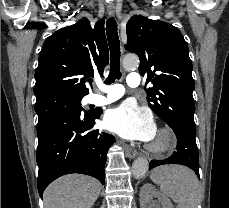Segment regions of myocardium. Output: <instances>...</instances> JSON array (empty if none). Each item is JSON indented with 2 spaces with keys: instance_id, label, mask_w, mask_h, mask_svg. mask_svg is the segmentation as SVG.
Here are the masks:
<instances>
[{
  "instance_id": "obj_1",
  "label": "myocardium",
  "mask_w": 229,
  "mask_h": 208,
  "mask_svg": "<svg viewBox=\"0 0 229 208\" xmlns=\"http://www.w3.org/2000/svg\"><path fill=\"white\" fill-rule=\"evenodd\" d=\"M156 134L166 137L165 142H159V146L149 143L147 150L154 156H163L173 151L177 145V136L175 132L169 127H161Z\"/></svg>"
}]
</instances>
